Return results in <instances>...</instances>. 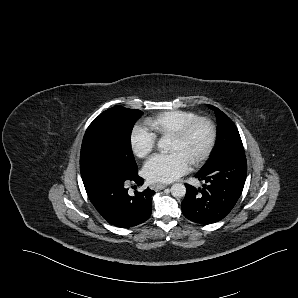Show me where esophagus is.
<instances>
[{"mask_svg": "<svg viewBox=\"0 0 298 298\" xmlns=\"http://www.w3.org/2000/svg\"><path fill=\"white\" fill-rule=\"evenodd\" d=\"M166 187H167L166 184H157V185H154V186H153V188H154L155 190H162V189H164V188H166Z\"/></svg>", "mask_w": 298, "mask_h": 298, "instance_id": "34e87169", "label": "esophagus"}]
</instances>
